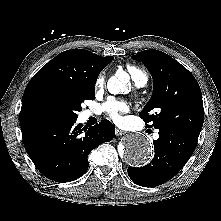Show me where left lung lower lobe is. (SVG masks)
I'll return each instance as SVG.
<instances>
[{
  "label": "left lung lower lobe",
  "mask_w": 221,
  "mask_h": 221,
  "mask_svg": "<svg viewBox=\"0 0 221 221\" xmlns=\"http://www.w3.org/2000/svg\"><path fill=\"white\" fill-rule=\"evenodd\" d=\"M154 141L155 155L141 168L129 167L128 175L137 185L159 186L173 178L191 157L198 137L174 128L159 130Z\"/></svg>",
  "instance_id": "0a47b994"
}]
</instances>
